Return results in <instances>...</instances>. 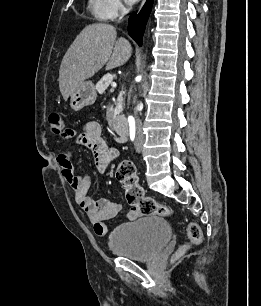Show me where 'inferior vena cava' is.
Listing matches in <instances>:
<instances>
[{
  "label": "inferior vena cava",
  "mask_w": 261,
  "mask_h": 306,
  "mask_svg": "<svg viewBox=\"0 0 261 306\" xmlns=\"http://www.w3.org/2000/svg\"><path fill=\"white\" fill-rule=\"evenodd\" d=\"M138 134L142 136V123L138 117H136Z\"/></svg>",
  "instance_id": "602c4592"
}]
</instances>
